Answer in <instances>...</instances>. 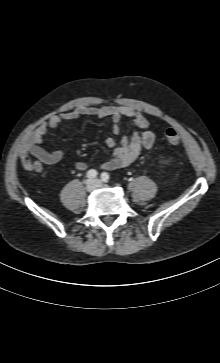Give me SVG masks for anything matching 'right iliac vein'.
<instances>
[{"instance_id": "63e3f726", "label": "right iliac vein", "mask_w": 220, "mask_h": 363, "mask_svg": "<svg viewBox=\"0 0 220 363\" xmlns=\"http://www.w3.org/2000/svg\"><path fill=\"white\" fill-rule=\"evenodd\" d=\"M96 186H97V184H96L95 180H93V179H88V180L86 181V190H87L89 193L93 192V191L95 190Z\"/></svg>"}]
</instances>
